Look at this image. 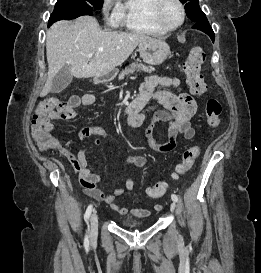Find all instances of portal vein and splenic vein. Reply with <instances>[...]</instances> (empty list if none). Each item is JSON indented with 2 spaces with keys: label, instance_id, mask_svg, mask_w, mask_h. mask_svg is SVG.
I'll return each mask as SVG.
<instances>
[{
  "label": "portal vein and splenic vein",
  "instance_id": "18ae733b",
  "mask_svg": "<svg viewBox=\"0 0 261 273\" xmlns=\"http://www.w3.org/2000/svg\"><path fill=\"white\" fill-rule=\"evenodd\" d=\"M99 51H102V49H100ZM87 57L88 58H92L93 57V53L88 54ZM132 79H134V78L132 77Z\"/></svg>",
  "mask_w": 261,
  "mask_h": 273
}]
</instances>
